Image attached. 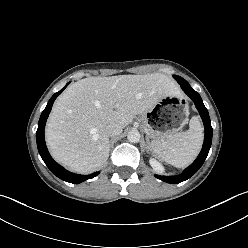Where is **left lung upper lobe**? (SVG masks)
Wrapping results in <instances>:
<instances>
[{
    "instance_id": "obj_1",
    "label": "left lung upper lobe",
    "mask_w": 248,
    "mask_h": 248,
    "mask_svg": "<svg viewBox=\"0 0 248 248\" xmlns=\"http://www.w3.org/2000/svg\"><path fill=\"white\" fill-rule=\"evenodd\" d=\"M173 77L177 80V82L180 85H189L188 82L186 80H184L183 78H181L180 76L173 75Z\"/></svg>"
}]
</instances>
